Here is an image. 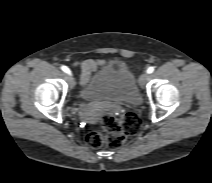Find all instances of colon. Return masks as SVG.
I'll use <instances>...</instances> for the list:
<instances>
[{
  "instance_id": "obj_1",
  "label": "colon",
  "mask_w": 212,
  "mask_h": 183,
  "mask_svg": "<svg viewBox=\"0 0 212 183\" xmlns=\"http://www.w3.org/2000/svg\"><path fill=\"white\" fill-rule=\"evenodd\" d=\"M100 130L92 131L86 136V142L93 148L107 145L116 149L122 146L128 137L139 132L141 119L133 112L117 116L111 111L105 112L99 119Z\"/></svg>"
}]
</instances>
